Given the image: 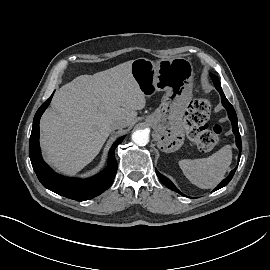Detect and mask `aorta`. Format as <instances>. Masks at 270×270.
<instances>
[{
	"label": "aorta",
	"mask_w": 270,
	"mask_h": 270,
	"mask_svg": "<svg viewBox=\"0 0 270 270\" xmlns=\"http://www.w3.org/2000/svg\"><path fill=\"white\" fill-rule=\"evenodd\" d=\"M132 140L138 146H145L149 142V133L146 130H136L132 134Z\"/></svg>",
	"instance_id": "aorta-1"
}]
</instances>
